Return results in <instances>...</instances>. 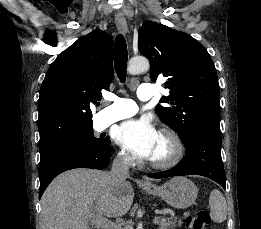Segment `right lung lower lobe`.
<instances>
[{"mask_svg": "<svg viewBox=\"0 0 261 229\" xmlns=\"http://www.w3.org/2000/svg\"><path fill=\"white\" fill-rule=\"evenodd\" d=\"M110 147L102 152L64 153L40 160L39 164V198L49 183L60 173L74 168L104 169L109 164Z\"/></svg>", "mask_w": 261, "mask_h": 229, "instance_id": "right-lung-lower-lobe-1", "label": "right lung lower lobe"}]
</instances>
